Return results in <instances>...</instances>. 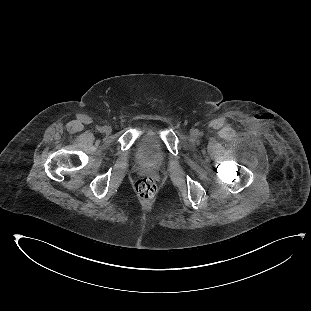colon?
Here are the masks:
<instances>
[{
  "label": "colon",
  "instance_id": "obj_1",
  "mask_svg": "<svg viewBox=\"0 0 311 311\" xmlns=\"http://www.w3.org/2000/svg\"><path fill=\"white\" fill-rule=\"evenodd\" d=\"M134 189L139 198L147 200L155 195L157 186L152 177L142 176L135 182Z\"/></svg>",
  "mask_w": 311,
  "mask_h": 311
}]
</instances>
